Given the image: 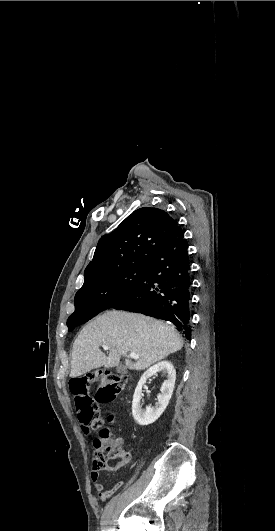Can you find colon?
Returning <instances> with one entry per match:
<instances>
[{
	"mask_svg": "<svg viewBox=\"0 0 275 531\" xmlns=\"http://www.w3.org/2000/svg\"><path fill=\"white\" fill-rule=\"evenodd\" d=\"M92 381L98 383L95 397L92 395ZM126 381L122 375L107 369L89 372L84 375L72 376V401L77 409V422L88 423L92 429L96 423L103 420L97 410V402H110L124 390ZM110 422L112 415L108 416ZM99 443L103 447L102 457L99 460V469L113 470L121 464V442L112 437L111 427L102 428L99 433ZM121 483L118 484L120 486Z\"/></svg>",
	"mask_w": 275,
	"mask_h": 531,
	"instance_id": "obj_1",
	"label": "colon"
}]
</instances>
